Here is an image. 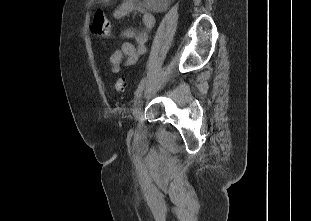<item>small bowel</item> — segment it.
Segmentation results:
<instances>
[{
  "mask_svg": "<svg viewBox=\"0 0 311 221\" xmlns=\"http://www.w3.org/2000/svg\"><path fill=\"white\" fill-rule=\"evenodd\" d=\"M137 11L141 13L143 29L137 31L133 28H127L123 36L127 39H133L135 44L130 42L123 43L119 49L115 50L110 56V64L114 70H117L122 63L130 66L135 64L138 59L146 54V42L150 30L155 25V17L149 13L143 6L141 0H124L113 13L115 20L127 16L129 13Z\"/></svg>",
  "mask_w": 311,
  "mask_h": 221,
  "instance_id": "1",
  "label": "small bowel"
}]
</instances>
